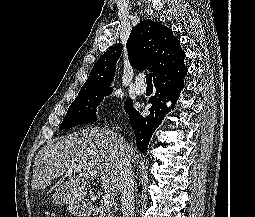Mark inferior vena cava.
Segmentation results:
<instances>
[{"label": "inferior vena cava", "mask_w": 255, "mask_h": 217, "mask_svg": "<svg viewBox=\"0 0 255 217\" xmlns=\"http://www.w3.org/2000/svg\"><path fill=\"white\" fill-rule=\"evenodd\" d=\"M130 146H120L119 149V171L121 179V202L123 217H134V179L131 170Z\"/></svg>", "instance_id": "602c4592"}]
</instances>
